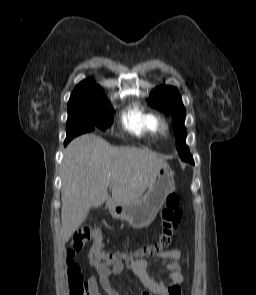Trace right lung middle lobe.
I'll list each match as a JSON object with an SVG mask.
<instances>
[{"label": "right lung middle lobe", "mask_w": 256, "mask_h": 295, "mask_svg": "<svg viewBox=\"0 0 256 295\" xmlns=\"http://www.w3.org/2000/svg\"><path fill=\"white\" fill-rule=\"evenodd\" d=\"M112 121V109L106 99L87 100L68 106L65 145L74 137L95 128L106 130Z\"/></svg>", "instance_id": "obj_1"}]
</instances>
